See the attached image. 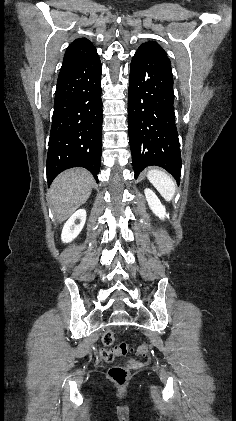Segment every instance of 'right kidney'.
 I'll return each mask as SVG.
<instances>
[{"instance_id": "1", "label": "right kidney", "mask_w": 236, "mask_h": 421, "mask_svg": "<svg viewBox=\"0 0 236 421\" xmlns=\"http://www.w3.org/2000/svg\"><path fill=\"white\" fill-rule=\"evenodd\" d=\"M86 221V211L85 208H79V211H76L74 215H71L70 219L66 221L63 229L61 239L63 243H71L73 239L78 237L81 233Z\"/></svg>"}]
</instances>
